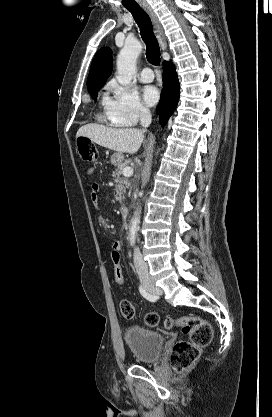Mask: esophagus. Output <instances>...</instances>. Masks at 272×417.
Segmentation results:
<instances>
[{
    "label": "esophagus",
    "instance_id": "34e87169",
    "mask_svg": "<svg viewBox=\"0 0 272 417\" xmlns=\"http://www.w3.org/2000/svg\"><path fill=\"white\" fill-rule=\"evenodd\" d=\"M141 6L152 20L154 33H155L156 38H157V40L160 44L161 50L162 51L166 50L167 41H166V38L164 36L162 26H161V24H160V22L157 18V15L153 11V9L150 7V5H148L147 3H142Z\"/></svg>",
    "mask_w": 272,
    "mask_h": 417
}]
</instances>
